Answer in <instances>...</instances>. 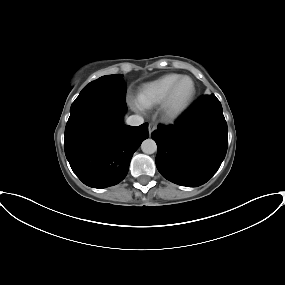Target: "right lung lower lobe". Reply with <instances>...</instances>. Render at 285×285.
I'll return each instance as SVG.
<instances>
[{"label":"right lung lower lobe","instance_id":"98d812e1","mask_svg":"<svg viewBox=\"0 0 285 285\" xmlns=\"http://www.w3.org/2000/svg\"><path fill=\"white\" fill-rule=\"evenodd\" d=\"M125 97L115 94L87 99L66 124L64 148L73 172L87 186L106 188L127 175L133 153L147 139L148 124H123Z\"/></svg>","mask_w":285,"mask_h":285}]
</instances>
